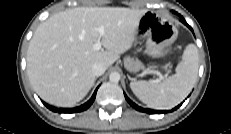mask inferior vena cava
Listing matches in <instances>:
<instances>
[{"mask_svg":"<svg viewBox=\"0 0 231 134\" xmlns=\"http://www.w3.org/2000/svg\"><path fill=\"white\" fill-rule=\"evenodd\" d=\"M105 71L106 66L101 62H97L92 65V72L95 76H101Z\"/></svg>","mask_w":231,"mask_h":134,"instance_id":"1","label":"inferior vena cava"}]
</instances>
